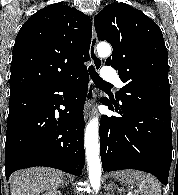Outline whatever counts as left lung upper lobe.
<instances>
[{"instance_id":"5c2ea615","label":"left lung upper lobe","mask_w":178,"mask_h":195,"mask_svg":"<svg viewBox=\"0 0 178 195\" xmlns=\"http://www.w3.org/2000/svg\"><path fill=\"white\" fill-rule=\"evenodd\" d=\"M94 24L98 39L113 47L106 65L118 70L125 83L116 97L171 109L168 52L158 25L125 3L108 4Z\"/></svg>"}]
</instances>
